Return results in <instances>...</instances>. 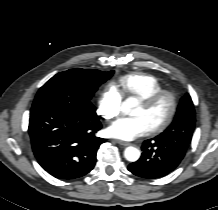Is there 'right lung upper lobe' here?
Masks as SVG:
<instances>
[{
  "mask_svg": "<svg viewBox=\"0 0 218 210\" xmlns=\"http://www.w3.org/2000/svg\"><path fill=\"white\" fill-rule=\"evenodd\" d=\"M88 70H94V69H88ZM94 71H99V70H94Z\"/></svg>",
  "mask_w": 218,
  "mask_h": 210,
  "instance_id": "obj_1",
  "label": "right lung upper lobe"
}]
</instances>
